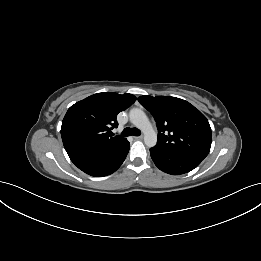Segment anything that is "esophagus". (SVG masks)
Here are the masks:
<instances>
[{
    "label": "esophagus",
    "mask_w": 261,
    "mask_h": 261,
    "mask_svg": "<svg viewBox=\"0 0 261 261\" xmlns=\"http://www.w3.org/2000/svg\"><path fill=\"white\" fill-rule=\"evenodd\" d=\"M134 139H135V140H142V139H143V136H142V135H141V136H135Z\"/></svg>",
    "instance_id": "1"
}]
</instances>
